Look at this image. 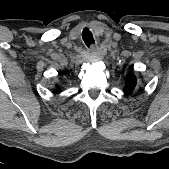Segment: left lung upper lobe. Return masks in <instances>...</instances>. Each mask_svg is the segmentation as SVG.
<instances>
[{
  "instance_id": "1",
  "label": "left lung upper lobe",
  "mask_w": 169,
  "mask_h": 169,
  "mask_svg": "<svg viewBox=\"0 0 169 169\" xmlns=\"http://www.w3.org/2000/svg\"><path fill=\"white\" fill-rule=\"evenodd\" d=\"M136 84H137L136 77L132 73H130L128 78L126 79V83L124 86V92L131 93L135 89Z\"/></svg>"
}]
</instances>
